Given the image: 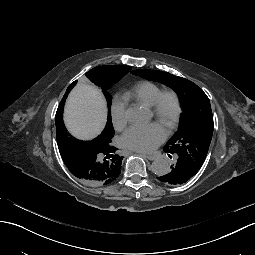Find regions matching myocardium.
<instances>
[{"label": "myocardium", "instance_id": "obj_1", "mask_svg": "<svg viewBox=\"0 0 255 255\" xmlns=\"http://www.w3.org/2000/svg\"><path fill=\"white\" fill-rule=\"evenodd\" d=\"M167 99H170L172 102V113L170 116L169 128L166 132V136L169 137L175 132L178 125L181 110L180 99L178 94L171 89L162 90L157 95L150 108L153 116L152 117L153 123L159 124L164 117V104Z\"/></svg>", "mask_w": 255, "mask_h": 255}]
</instances>
